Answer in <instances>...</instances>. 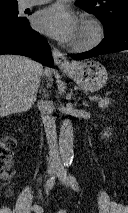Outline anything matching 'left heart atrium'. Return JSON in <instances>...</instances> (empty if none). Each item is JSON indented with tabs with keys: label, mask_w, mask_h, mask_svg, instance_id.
I'll use <instances>...</instances> for the list:
<instances>
[{
	"label": "left heart atrium",
	"mask_w": 128,
	"mask_h": 213,
	"mask_svg": "<svg viewBox=\"0 0 128 213\" xmlns=\"http://www.w3.org/2000/svg\"><path fill=\"white\" fill-rule=\"evenodd\" d=\"M33 24L39 32L64 43L74 42L79 29L76 15L63 4H54L39 11Z\"/></svg>",
	"instance_id": "1"
}]
</instances>
